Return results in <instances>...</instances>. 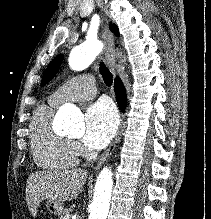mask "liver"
Here are the masks:
<instances>
[{"mask_svg":"<svg viewBox=\"0 0 211 219\" xmlns=\"http://www.w3.org/2000/svg\"><path fill=\"white\" fill-rule=\"evenodd\" d=\"M88 172L83 169L42 171L31 174L27 180L26 202L33 217L42 200L55 202L75 199L86 182Z\"/></svg>","mask_w":211,"mask_h":219,"instance_id":"6515ba94","label":"liver"}]
</instances>
